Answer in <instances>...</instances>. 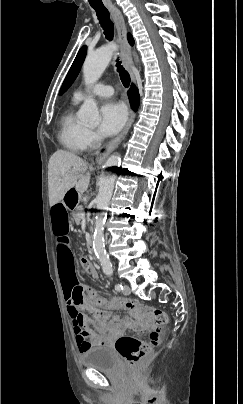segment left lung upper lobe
Masks as SVG:
<instances>
[{"label":"left lung upper lobe","mask_w":243,"mask_h":404,"mask_svg":"<svg viewBox=\"0 0 243 404\" xmlns=\"http://www.w3.org/2000/svg\"><path fill=\"white\" fill-rule=\"evenodd\" d=\"M86 50H87L86 46L81 47V49L79 50L72 66L62 84L59 95H62L70 87V85L73 83V81L77 77V75L80 71V68L83 64V61L85 59Z\"/></svg>","instance_id":"obj_1"}]
</instances>
